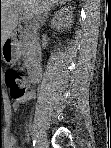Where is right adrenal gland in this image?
<instances>
[{"label":"right adrenal gland","mask_w":111,"mask_h":148,"mask_svg":"<svg viewBox=\"0 0 111 148\" xmlns=\"http://www.w3.org/2000/svg\"><path fill=\"white\" fill-rule=\"evenodd\" d=\"M55 5H58V3H57V2L52 3V4L50 5V8L53 9V8L55 7ZM50 8H49L48 11L45 12L44 17H47V15L49 14V12L51 11ZM44 17H43V18H44Z\"/></svg>","instance_id":"1"}]
</instances>
